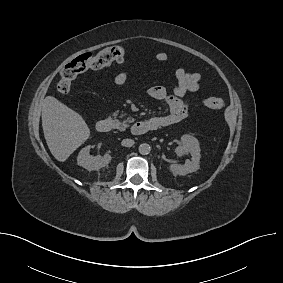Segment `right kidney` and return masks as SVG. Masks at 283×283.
I'll return each instance as SVG.
<instances>
[{"mask_svg":"<svg viewBox=\"0 0 283 283\" xmlns=\"http://www.w3.org/2000/svg\"><path fill=\"white\" fill-rule=\"evenodd\" d=\"M90 146L83 148L78 157L77 163L79 166L87 169L88 171L99 170L102 167H105L111 161V156L106 154L104 156H92L89 154Z\"/></svg>","mask_w":283,"mask_h":283,"instance_id":"1","label":"right kidney"}]
</instances>
